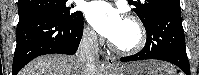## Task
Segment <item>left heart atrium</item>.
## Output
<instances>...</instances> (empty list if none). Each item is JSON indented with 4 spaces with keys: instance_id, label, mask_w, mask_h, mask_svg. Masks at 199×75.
Masks as SVG:
<instances>
[{
    "instance_id": "left-heart-atrium-1",
    "label": "left heart atrium",
    "mask_w": 199,
    "mask_h": 75,
    "mask_svg": "<svg viewBox=\"0 0 199 75\" xmlns=\"http://www.w3.org/2000/svg\"><path fill=\"white\" fill-rule=\"evenodd\" d=\"M86 15L95 30L112 42L118 37L126 22L119 10L102 1L90 3Z\"/></svg>"
}]
</instances>
